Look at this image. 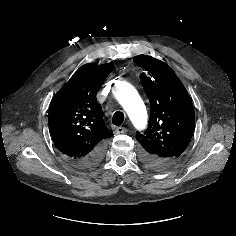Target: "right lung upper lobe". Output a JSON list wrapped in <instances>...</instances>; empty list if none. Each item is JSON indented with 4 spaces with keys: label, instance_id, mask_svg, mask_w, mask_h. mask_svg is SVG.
Masks as SVG:
<instances>
[{
    "label": "right lung upper lobe",
    "instance_id": "1",
    "mask_svg": "<svg viewBox=\"0 0 236 236\" xmlns=\"http://www.w3.org/2000/svg\"><path fill=\"white\" fill-rule=\"evenodd\" d=\"M112 69V63L86 64L53 97L49 130L54 144L66 157H83L113 136L104 124L102 108L95 99Z\"/></svg>",
    "mask_w": 236,
    "mask_h": 236
}]
</instances>
